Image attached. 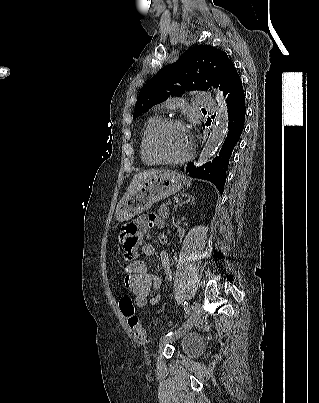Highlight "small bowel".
Returning <instances> with one entry per match:
<instances>
[{"instance_id":"small-bowel-1","label":"small bowel","mask_w":319,"mask_h":403,"mask_svg":"<svg viewBox=\"0 0 319 403\" xmlns=\"http://www.w3.org/2000/svg\"><path fill=\"white\" fill-rule=\"evenodd\" d=\"M163 226L162 219L156 214H149L147 216H142L129 224H122L121 233L115 235V244L121 246V258L126 260L129 263L135 261V252L132 251L135 248L140 247V253L144 255H152L155 252V247L151 243H142V239L144 236L153 230H159ZM158 243L164 245L167 243L168 238L164 233L157 234ZM160 261L162 268L164 270L165 276L167 280H171L172 271L170 267V262L168 258V254L164 251L160 253ZM146 267V265H145ZM148 270V269H147ZM148 275H154L155 282L152 284L153 292H157L161 287V278L155 274H152L148 271ZM126 281V276L125 280ZM126 286V284H125ZM127 288V287H126ZM128 289V288H127ZM121 296H130V293H121ZM160 301V295L156 294L151 297V300L148 302L152 305L157 304ZM135 304V301L133 300ZM129 336L133 338V336L129 332Z\"/></svg>"}]
</instances>
